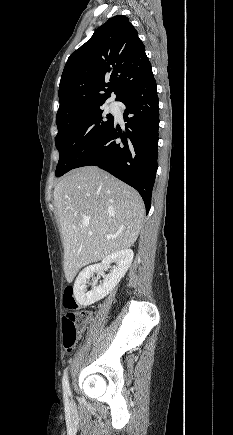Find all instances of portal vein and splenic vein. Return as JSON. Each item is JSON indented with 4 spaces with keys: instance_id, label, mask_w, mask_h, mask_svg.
Listing matches in <instances>:
<instances>
[{
    "instance_id": "portal-vein-and-splenic-vein-1",
    "label": "portal vein and splenic vein",
    "mask_w": 233,
    "mask_h": 435,
    "mask_svg": "<svg viewBox=\"0 0 233 435\" xmlns=\"http://www.w3.org/2000/svg\"><path fill=\"white\" fill-rule=\"evenodd\" d=\"M83 225H84L85 227H87V226L89 225V221H84V222H83ZM106 237H107V238H113V236H110V235H106Z\"/></svg>"
}]
</instances>
